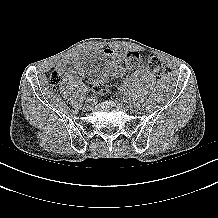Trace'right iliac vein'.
Wrapping results in <instances>:
<instances>
[{
    "label": "right iliac vein",
    "mask_w": 218,
    "mask_h": 218,
    "mask_svg": "<svg viewBox=\"0 0 218 218\" xmlns=\"http://www.w3.org/2000/svg\"><path fill=\"white\" fill-rule=\"evenodd\" d=\"M94 103H95V99L94 98L92 100H88L87 99L85 101V103H84V109H86V110L91 109L93 107Z\"/></svg>",
    "instance_id": "63e3f726"
}]
</instances>
